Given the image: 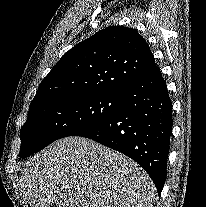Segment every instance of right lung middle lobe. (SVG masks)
Here are the masks:
<instances>
[{
	"label": "right lung middle lobe",
	"instance_id": "obj_1",
	"mask_svg": "<svg viewBox=\"0 0 206 207\" xmlns=\"http://www.w3.org/2000/svg\"><path fill=\"white\" fill-rule=\"evenodd\" d=\"M123 94L72 95L51 98L31 106L21 128L24 158L57 139L76 136L107 118L122 105Z\"/></svg>",
	"mask_w": 206,
	"mask_h": 207
}]
</instances>
